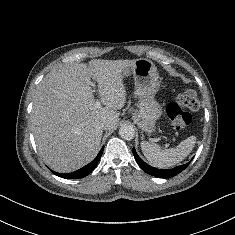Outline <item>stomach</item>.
Wrapping results in <instances>:
<instances>
[{
    "label": "stomach",
    "mask_w": 235,
    "mask_h": 235,
    "mask_svg": "<svg viewBox=\"0 0 235 235\" xmlns=\"http://www.w3.org/2000/svg\"><path fill=\"white\" fill-rule=\"evenodd\" d=\"M130 74H133L136 94L139 97L140 127L146 132H153L155 122L162 114L161 106L154 98L160 88L157 69L152 61L140 58L123 73L124 76Z\"/></svg>",
    "instance_id": "0dacf381"
}]
</instances>
